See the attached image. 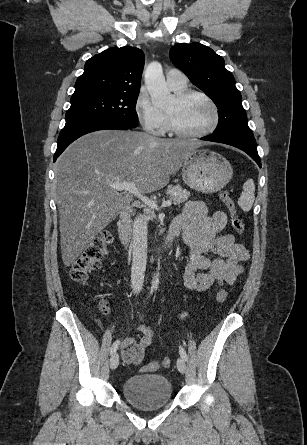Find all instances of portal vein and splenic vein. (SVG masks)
<instances>
[{
  "label": "portal vein and splenic vein",
  "instance_id": "18ae733b",
  "mask_svg": "<svg viewBox=\"0 0 307 445\" xmlns=\"http://www.w3.org/2000/svg\"><path fill=\"white\" fill-rule=\"evenodd\" d=\"M110 186H113V188H116V190H129V192H133V194H136L142 202H145V204H148L150 208H157L158 204L156 200H151V198H148V196H144L140 190H138L135 182H109ZM172 200H163L161 206H171Z\"/></svg>",
  "mask_w": 307,
  "mask_h": 445
}]
</instances>
